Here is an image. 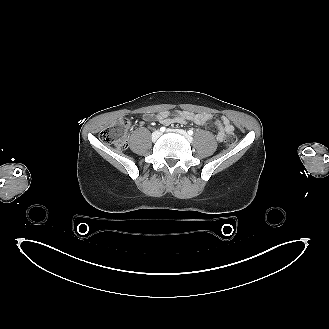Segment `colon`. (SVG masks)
Wrapping results in <instances>:
<instances>
[{"mask_svg": "<svg viewBox=\"0 0 329 329\" xmlns=\"http://www.w3.org/2000/svg\"><path fill=\"white\" fill-rule=\"evenodd\" d=\"M129 126V120L118 119L113 124L103 128L100 131V140L106 144L114 145L116 147H124L127 143V128ZM237 136L234 133H230L225 137V144L227 146L235 145Z\"/></svg>", "mask_w": 329, "mask_h": 329, "instance_id": "colon-1", "label": "colon"}]
</instances>
